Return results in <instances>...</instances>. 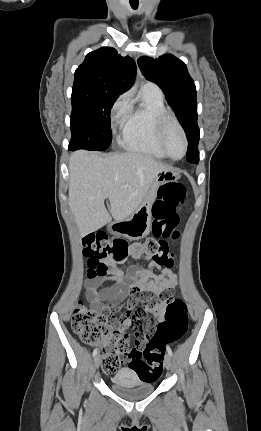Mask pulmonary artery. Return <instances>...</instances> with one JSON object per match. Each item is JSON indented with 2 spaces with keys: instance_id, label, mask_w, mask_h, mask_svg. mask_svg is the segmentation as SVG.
I'll return each instance as SVG.
<instances>
[{
  "instance_id": "e3ab8cb5",
  "label": "pulmonary artery",
  "mask_w": 261,
  "mask_h": 431,
  "mask_svg": "<svg viewBox=\"0 0 261 431\" xmlns=\"http://www.w3.org/2000/svg\"><path fill=\"white\" fill-rule=\"evenodd\" d=\"M143 88L156 94H161L160 88L153 82H146Z\"/></svg>"
}]
</instances>
